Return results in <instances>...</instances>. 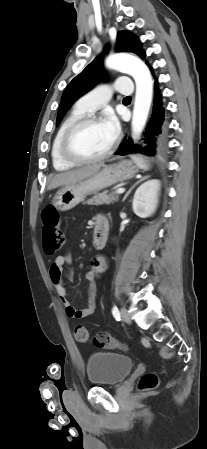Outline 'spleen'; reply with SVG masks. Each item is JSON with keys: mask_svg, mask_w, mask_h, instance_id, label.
I'll list each match as a JSON object with an SVG mask.
<instances>
[{"mask_svg": "<svg viewBox=\"0 0 207 449\" xmlns=\"http://www.w3.org/2000/svg\"><path fill=\"white\" fill-rule=\"evenodd\" d=\"M131 158L140 169L143 170L149 169V165L142 158L137 156H131Z\"/></svg>", "mask_w": 207, "mask_h": 449, "instance_id": "1", "label": "spleen"}]
</instances>
